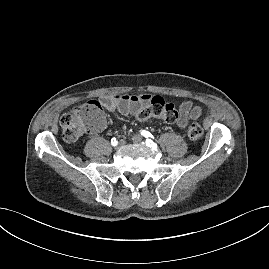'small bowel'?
Returning a JSON list of instances; mask_svg holds the SVG:
<instances>
[{
	"label": "small bowel",
	"mask_w": 269,
	"mask_h": 269,
	"mask_svg": "<svg viewBox=\"0 0 269 269\" xmlns=\"http://www.w3.org/2000/svg\"><path fill=\"white\" fill-rule=\"evenodd\" d=\"M151 99L150 95H106L101 97V105L110 112L120 114H137L138 111ZM202 107L193 104L191 101H185L180 104L178 116L174 122L180 128H185L189 119H196L202 114ZM105 127V122L99 130Z\"/></svg>",
	"instance_id": "small-bowel-1"
}]
</instances>
